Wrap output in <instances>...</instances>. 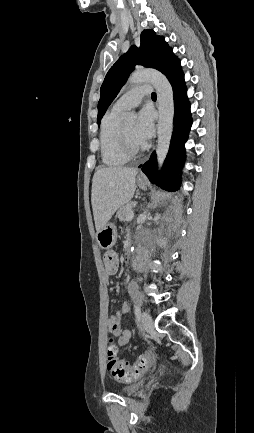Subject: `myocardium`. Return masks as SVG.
I'll return each instance as SVG.
<instances>
[{
  "instance_id": "f54148a6",
  "label": "myocardium",
  "mask_w": 254,
  "mask_h": 433,
  "mask_svg": "<svg viewBox=\"0 0 254 433\" xmlns=\"http://www.w3.org/2000/svg\"><path fill=\"white\" fill-rule=\"evenodd\" d=\"M119 137L122 151L127 157L135 158L143 152V146L136 148L130 143L122 126L119 129Z\"/></svg>"
}]
</instances>
